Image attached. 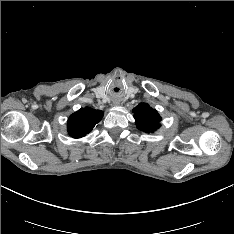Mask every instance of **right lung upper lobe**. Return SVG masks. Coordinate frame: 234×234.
<instances>
[{"label":"right lung upper lobe","instance_id":"obj_1","mask_svg":"<svg viewBox=\"0 0 234 234\" xmlns=\"http://www.w3.org/2000/svg\"><path fill=\"white\" fill-rule=\"evenodd\" d=\"M103 112L89 107L73 113L67 122V129L73 138H81L89 133L101 121Z\"/></svg>","mask_w":234,"mask_h":234}]
</instances>
